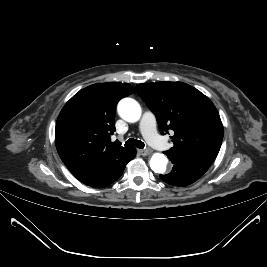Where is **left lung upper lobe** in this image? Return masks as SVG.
<instances>
[{"instance_id":"1","label":"left lung upper lobe","mask_w":267,"mask_h":267,"mask_svg":"<svg viewBox=\"0 0 267 267\" xmlns=\"http://www.w3.org/2000/svg\"><path fill=\"white\" fill-rule=\"evenodd\" d=\"M136 89L155 114L161 134L174 132V146L168 151L210 166L223 139V125L211 100L182 82L143 83Z\"/></svg>"}]
</instances>
